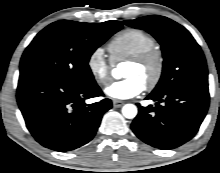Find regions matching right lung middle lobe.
I'll return each mask as SVG.
<instances>
[{
	"label": "right lung middle lobe",
	"instance_id": "right-lung-middle-lobe-1",
	"mask_svg": "<svg viewBox=\"0 0 220 173\" xmlns=\"http://www.w3.org/2000/svg\"><path fill=\"white\" fill-rule=\"evenodd\" d=\"M120 29L119 21L99 24L70 20L54 22L37 34L26 48L20 62V76L45 75L74 85L93 83L89 59Z\"/></svg>",
	"mask_w": 220,
	"mask_h": 173
}]
</instances>
